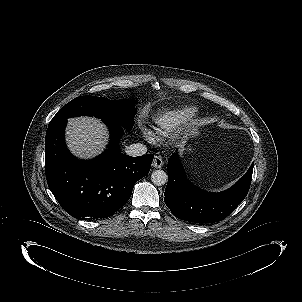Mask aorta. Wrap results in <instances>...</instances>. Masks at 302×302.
I'll return each mask as SVG.
<instances>
[{"mask_svg": "<svg viewBox=\"0 0 302 302\" xmlns=\"http://www.w3.org/2000/svg\"><path fill=\"white\" fill-rule=\"evenodd\" d=\"M151 181L156 186L165 185L168 181V175L163 170H155L151 174Z\"/></svg>", "mask_w": 302, "mask_h": 302, "instance_id": "762f6f07", "label": "aorta"}]
</instances>
